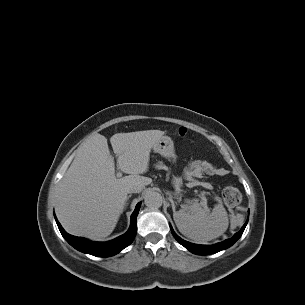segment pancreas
Wrapping results in <instances>:
<instances>
[{
  "label": "pancreas",
  "instance_id": "pancreas-1",
  "mask_svg": "<svg viewBox=\"0 0 305 305\" xmlns=\"http://www.w3.org/2000/svg\"><path fill=\"white\" fill-rule=\"evenodd\" d=\"M155 168L156 169H163V170H166L168 171L167 175H169V168L162 162V161H159L158 163L155 164Z\"/></svg>",
  "mask_w": 305,
  "mask_h": 305
}]
</instances>
